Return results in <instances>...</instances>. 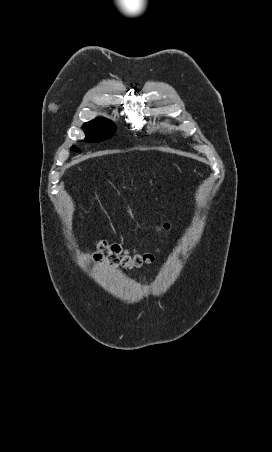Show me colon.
<instances>
[{
    "label": "colon",
    "instance_id": "colon-1",
    "mask_svg": "<svg viewBox=\"0 0 272 452\" xmlns=\"http://www.w3.org/2000/svg\"><path fill=\"white\" fill-rule=\"evenodd\" d=\"M161 229L168 230L169 224H164ZM152 257V254L149 252H130L118 244H109L104 241L98 244L97 251L92 255V259L95 262L123 268L139 267L144 263L151 262Z\"/></svg>",
    "mask_w": 272,
    "mask_h": 452
}]
</instances>
